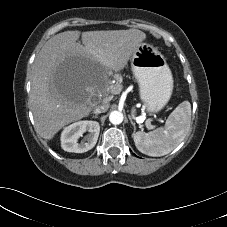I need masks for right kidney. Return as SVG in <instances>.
I'll return each mask as SVG.
<instances>
[{
	"mask_svg": "<svg viewBox=\"0 0 227 227\" xmlns=\"http://www.w3.org/2000/svg\"><path fill=\"white\" fill-rule=\"evenodd\" d=\"M88 134L79 143L78 139ZM100 125L97 121H78L64 128L61 134V147L67 152L84 153L92 149L98 140Z\"/></svg>",
	"mask_w": 227,
	"mask_h": 227,
	"instance_id": "1",
	"label": "right kidney"
}]
</instances>
